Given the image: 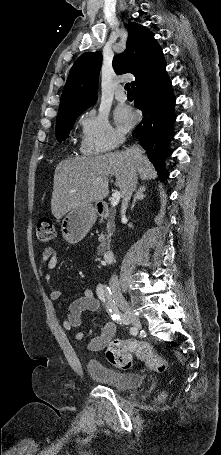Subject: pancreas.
Returning a JSON list of instances; mask_svg holds the SVG:
<instances>
[{
    "label": "pancreas",
    "mask_w": 221,
    "mask_h": 455,
    "mask_svg": "<svg viewBox=\"0 0 221 455\" xmlns=\"http://www.w3.org/2000/svg\"><path fill=\"white\" fill-rule=\"evenodd\" d=\"M114 231H115L114 219H113V217L110 216V218L108 219V221L106 223V233L105 234L101 233L98 238V240L100 242V245L97 247L98 255H101L105 252L106 245H108L110 243L111 237L113 236Z\"/></svg>",
    "instance_id": "cf45deb5"
}]
</instances>
